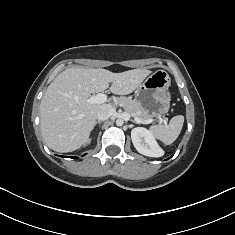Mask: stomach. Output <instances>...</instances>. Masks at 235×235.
<instances>
[{"label": "stomach", "instance_id": "0dacf381", "mask_svg": "<svg viewBox=\"0 0 235 235\" xmlns=\"http://www.w3.org/2000/svg\"><path fill=\"white\" fill-rule=\"evenodd\" d=\"M170 83L168 73L164 70H157L136 89L135 100L151 117L161 116L168 112Z\"/></svg>", "mask_w": 235, "mask_h": 235}]
</instances>
